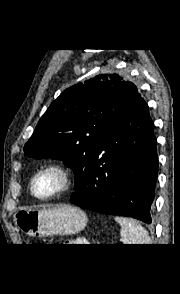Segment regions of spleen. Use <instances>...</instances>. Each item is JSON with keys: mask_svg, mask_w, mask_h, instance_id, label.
<instances>
[{"mask_svg": "<svg viewBox=\"0 0 180 294\" xmlns=\"http://www.w3.org/2000/svg\"><path fill=\"white\" fill-rule=\"evenodd\" d=\"M120 224V235L124 244H150L151 239L148 232L134 219L115 217Z\"/></svg>", "mask_w": 180, "mask_h": 294, "instance_id": "spleen-1", "label": "spleen"}]
</instances>
